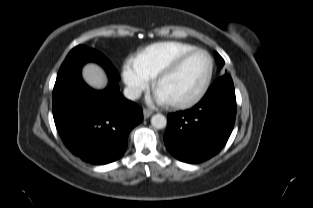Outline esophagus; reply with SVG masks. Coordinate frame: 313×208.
Instances as JSON below:
<instances>
[{
  "instance_id": "esophagus-1",
  "label": "esophagus",
  "mask_w": 313,
  "mask_h": 208,
  "mask_svg": "<svg viewBox=\"0 0 313 208\" xmlns=\"http://www.w3.org/2000/svg\"><path fill=\"white\" fill-rule=\"evenodd\" d=\"M152 111L150 110V109H147V108H145L144 110H143V116H144V118L146 119V118H149L151 115H152Z\"/></svg>"
}]
</instances>
